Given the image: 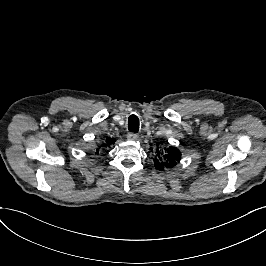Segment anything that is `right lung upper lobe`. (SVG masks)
I'll return each instance as SVG.
<instances>
[{
	"mask_svg": "<svg viewBox=\"0 0 266 266\" xmlns=\"http://www.w3.org/2000/svg\"><path fill=\"white\" fill-rule=\"evenodd\" d=\"M114 142H115V139L114 138H107V140H106V143L108 144V145H111V144H114Z\"/></svg>",
	"mask_w": 266,
	"mask_h": 266,
	"instance_id": "obj_1",
	"label": "right lung upper lobe"
}]
</instances>
